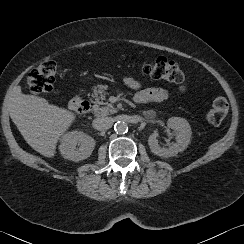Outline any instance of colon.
Returning <instances> with one entry per match:
<instances>
[{"label": "colon", "instance_id": "obj_1", "mask_svg": "<svg viewBox=\"0 0 244 244\" xmlns=\"http://www.w3.org/2000/svg\"><path fill=\"white\" fill-rule=\"evenodd\" d=\"M138 69L143 74L160 81L180 84L185 81L183 70L174 61L158 57L142 63ZM57 65L52 60H47L32 69L28 74V91L33 94L48 93L53 89L56 79ZM228 112V102L222 96H216L210 110L206 114L208 122L220 125Z\"/></svg>", "mask_w": 244, "mask_h": 244}]
</instances>
